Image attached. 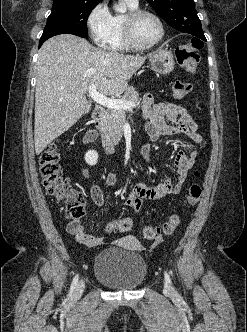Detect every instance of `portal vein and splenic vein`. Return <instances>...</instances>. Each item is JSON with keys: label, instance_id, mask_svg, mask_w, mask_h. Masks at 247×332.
Returning <instances> with one entry per match:
<instances>
[{"label": "portal vein and splenic vein", "instance_id": "1", "mask_svg": "<svg viewBox=\"0 0 247 332\" xmlns=\"http://www.w3.org/2000/svg\"><path fill=\"white\" fill-rule=\"evenodd\" d=\"M89 95L90 97L98 104L110 108V109H124L128 110L136 107V104L132 101H126L124 99H114L108 98L105 95L99 93L97 91L96 85H91L89 87Z\"/></svg>", "mask_w": 247, "mask_h": 332}]
</instances>
